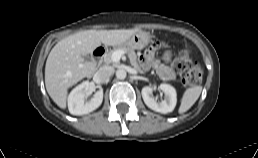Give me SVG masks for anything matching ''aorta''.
<instances>
[{"label":"aorta","mask_w":258,"mask_h":158,"mask_svg":"<svg viewBox=\"0 0 258 158\" xmlns=\"http://www.w3.org/2000/svg\"><path fill=\"white\" fill-rule=\"evenodd\" d=\"M126 75H127V73H126L125 69H123V68L117 69V71H116V77H117L118 79H125V78H126Z\"/></svg>","instance_id":"obj_1"}]
</instances>
